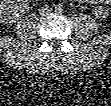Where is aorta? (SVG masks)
Here are the masks:
<instances>
[{
    "mask_svg": "<svg viewBox=\"0 0 111 106\" xmlns=\"http://www.w3.org/2000/svg\"><path fill=\"white\" fill-rule=\"evenodd\" d=\"M56 9L61 10L62 7H61L60 5H58V6L56 7Z\"/></svg>",
    "mask_w": 111,
    "mask_h": 106,
    "instance_id": "1",
    "label": "aorta"
}]
</instances>
